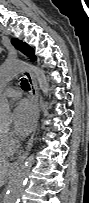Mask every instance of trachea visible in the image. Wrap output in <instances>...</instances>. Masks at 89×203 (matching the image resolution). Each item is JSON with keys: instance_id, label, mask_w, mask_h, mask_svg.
<instances>
[{"instance_id": "1", "label": "trachea", "mask_w": 89, "mask_h": 203, "mask_svg": "<svg viewBox=\"0 0 89 203\" xmlns=\"http://www.w3.org/2000/svg\"><path fill=\"white\" fill-rule=\"evenodd\" d=\"M21 87L24 90H30V85H29L28 81L25 78L21 79Z\"/></svg>"}]
</instances>
